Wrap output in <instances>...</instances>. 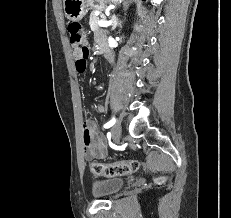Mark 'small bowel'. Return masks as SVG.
<instances>
[{
	"label": "small bowel",
	"mask_w": 231,
	"mask_h": 218,
	"mask_svg": "<svg viewBox=\"0 0 231 218\" xmlns=\"http://www.w3.org/2000/svg\"><path fill=\"white\" fill-rule=\"evenodd\" d=\"M96 40L99 48L107 49L103 41L101 34L96 35ZM73 55L75 57V66L78 73H84L87 69V62L89 61V56H81L79 50H74ZM105 108L103 105L97 106V111L99 113L104 112ZM83 144H84V154L90 160H96L100 158H105L107 156L108 150L104 138L95 132V126L91 122H87L83 126L82 131Z\"/></svg>",
	"instance_id": "obj_1"
}]
</instances>
